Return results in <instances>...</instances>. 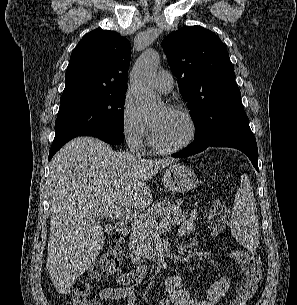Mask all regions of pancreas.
Masks as SVG:
<instances>
[{
    "label": "pancreas",
    "instance_id": "1",
    "mask_svg": "<svg viewBox=\"0 0 297 305\" xmlns=\"http://www.w3.org/2000/svg\"><path fill=\"white\" fill-rule=\"evenodd\" d=\"M181 201L169 203L164 200L151 206L145 213L132 222L131 248L133 252L145 259H153V237L157 234L158 218L167 220L169 224L179 225L186 216L181 210Z\"/></svg>",
    "mask_w": 297,
    "mask_h": 305
}]
</instances>
